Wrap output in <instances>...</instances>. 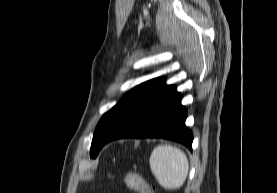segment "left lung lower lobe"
Returning <instances> with one entry per match:
<instances>
[{
    "mask_svg": "<svg viewBox=\"0 0 277 193\" xmlns=\"http://www.w3.org/2000/svg\"><path fill=\"white\" fill-rule=\"evenodd\" d=\"M175 86L161 84L128 106L103 135L101 148L120 138H165L192 149L193 134L185 126L187 111Z\"/></svg>",
    "mask_w": 277,
    "mask_h": 193,
    "instance_id": "0a47b994",
    "label": "left lung lower lobe"
}]
</instances>
